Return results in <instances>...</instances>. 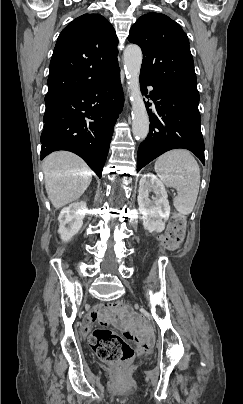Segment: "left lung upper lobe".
<instances>
[{
  "label": "left lung upper lobe",
  "instance_id": "1",
  "mask_svg": "<svg viewBox=\"0 0 243 404\" xmlns=\"http://www.w3.org/2000/svg\"><path fill=\"white\" fill-rule=\"evenodd\" d=\"M128 40L143 53L140 77L197 89L189 40L179 24L160 13H147L132 26Z\"/></svg>",
  "mask_w": 243,
  "mask_h": 404
}]
</instances>
